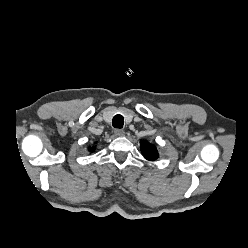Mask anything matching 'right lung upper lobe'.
Instances as JSON below:
<instances>
[{
  "mask_svg": "<svg viewBox=\"0 0 248 248\" xmlns=\"http://www.w3.org/2000/svg\"><path fill=\"white\" fill-rule=\"evenodd\" d=\"M90 150L93 152L94 151V148H92V149L90 148Z\"/></svg>",
  "mask_w": 248,
  "mask_h": 248,
  "instance_id": "1",
  "label": "right lung upper lobe"
}]
</instances>
